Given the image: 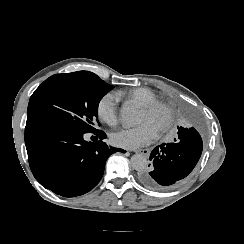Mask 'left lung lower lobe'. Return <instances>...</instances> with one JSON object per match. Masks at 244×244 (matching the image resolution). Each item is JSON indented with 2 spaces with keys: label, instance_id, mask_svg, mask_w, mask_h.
Masks as SVG:
<instances>
[{
  "label": "left lung lower lobe",
  "instance_id": "1",
  "mask_svg": "<svg viewBox=\"0 0 244 244\" xmlns=\"http://www.w3.org/2000/svg\"><path fill=\"white\" fill-rule=\"evenodd\" d=\"M177 128L178 138L154 148L150 155L153 166L139 173L144 186L160 191L174 189L196 166L203 148L199 121L191 116L185 127Z\"/></svg>",
  "mask_w": 244,
  "mask_h": 244
}]
</instances>
